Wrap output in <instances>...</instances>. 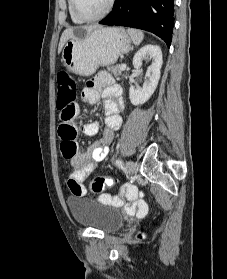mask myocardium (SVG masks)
Wrapping results in <instances>:
<instances>
[{"instance_id":"f54148a6","label":"myocardium","mask_w":227,"mask_h":279,"mask_svg":"<svg viewBox=\"0 0 227 279\" xmlns=\"http://www.w3.org/2000/svg\"><path fill=\"white\" fill-rule=\"evenodd\" d=\"M115 0H108L106 8L97 16L94 17H84L79 13L76 6V0H71V8L74 15L81 20L82 22H94L103 19L106 17L113 9Z\"/></svg>"}]
</instances>
